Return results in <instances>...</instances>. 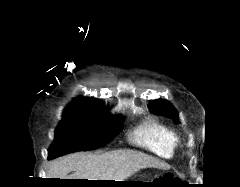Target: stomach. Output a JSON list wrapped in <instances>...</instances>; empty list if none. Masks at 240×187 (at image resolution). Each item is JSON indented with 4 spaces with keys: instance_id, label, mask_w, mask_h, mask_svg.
Segmentation results:
<instances>
[{
    "instance_id": "obj_1",
    "label": "stomach",
    "mask_w": 240,
    "mask_h": 187,
    "mask_svg": "<svg viewBox=\"0 0 240 187\" xmlns=\"http://www.w3.org/2000/svg\"><path fill=\"white\" fill-rule=\"evenodd\" d=\"M118 186H135L133 183H122V184H117Z\"/></svg>"
}]
</instances>
